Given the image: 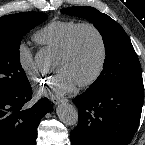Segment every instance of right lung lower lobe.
Here are the masks:
<instances>
[{
    "label": "right lung lower lobe",
    "instance_id": "obj_1",
    "mask_svg": "<svg viewBox=\"0 0 145 145\" xmlns=\"http://www.w3.org/2000/svg\"><path fill=\"white\" fill-rule=\"evenodd\" d=\"M31 95L30 83L20 91L0 93V145L36 144L39 122L52 110V105L42 98L26 108Z\"/></svg>",
    "mask_w": 145,
    "mask_h": 145
}]
</instances>
